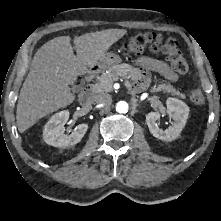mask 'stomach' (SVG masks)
Returning a JSON list of instances; mask_svg holds the SVG:
<instances>
[{
    "instance_id": "0dacf381",
    "label": "stomach",
    "mask_w": 221,
    "mask_h": 221,
    "mask_svg": "<svg viewBox=\"0 0 221 221\" xmlns=\"http://www.w3.org/2000/svg\"><path fill=\"white\" fill-rule=\"evenodd\" d=\"M121 61L122 59L120 58L119 55L109 52V53H105L102 56L98 66L102 69L110 68V67L118 65Z\"/></svg>"
}]
</instances>
